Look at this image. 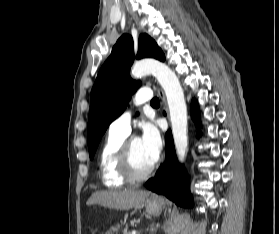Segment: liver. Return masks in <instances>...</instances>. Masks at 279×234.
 I'll list each match as a JSON object with an SVG mask.
<instances>
[{"label":"liver","mask_w":279,"mask_h":234,"mask_svg":"<svg viewBox=\"0 0 279 234\" xmlns=\"http://www.w3.org/2000/svg\"><path fill=\"white\" fill-rule=\"evenodd\" d=\"M150 193L143 190L98 191L87 200V205L98 204L110 209L128 210L143 203Z\"/></svg>","instance_id":"liver-1"}]
</instances>
